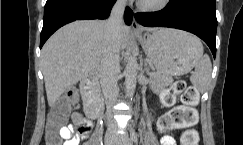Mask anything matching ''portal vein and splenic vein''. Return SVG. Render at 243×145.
I'll return each mask as SVG.
<instances>
[{
  "instance_id": "1",
  "label": "portal vein and splenic vein",
  "mask_w": 243,
  "mask_h": 145,
  "mask_svg": "<svg viewBox=\"0 0 243 145\" xmlns=\"http://www.w3.org/2000/svg\"><path fill=\"white\" fill-rule=\"evenodd\" d=\"M157 73H149V76L152 77V76H155Z\"/></svg>"
}]
</instances>
